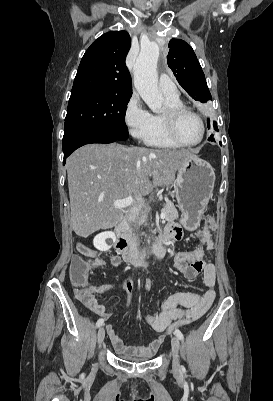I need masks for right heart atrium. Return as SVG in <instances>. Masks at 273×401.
I'll use <instances>...</instances> for the list:
<instances>
[{"instance_id":"1","label":"right heart atrium","mask_w":273,"mask_h":401,"mask_svg":"<svg viewBox=\"0 0 273 401\" xmlns=\"http://www.w3.org/2000/svg\"><path fill=\"white\" fill-rule=\"evenodd\" d=\"M124 118L129 133L134 139L142 141L147 137L151 127L152 114L144 106L139 96H131Z\"/></svg>"}]
</instances>
